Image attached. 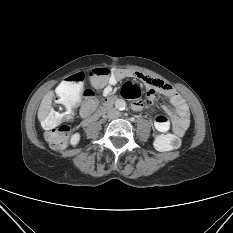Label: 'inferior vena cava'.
<instances>
[{
  "instance_id": "inferior-vena-cava-1",
  "label": "inferior vena cava",
  "mask_w": 233,
  "mask_h": 233,
  "mask_svg": "<svg viewBox=\"0 0 233 233\" xmlns=\"http://www.w3.org/2000/svg\"><path fill=\"white\" fill-rule=\"evenodd\" d=\"M119 116V111L116 110V109H111L109 112H108V118L109 119H115Z\"/></svg>"
}]
</instances>
